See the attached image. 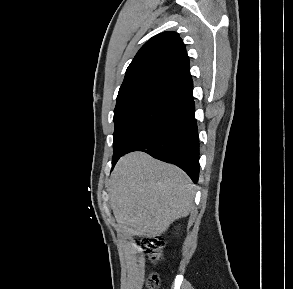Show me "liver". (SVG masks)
<instances>
[{"mask_svg": "<svg viewBox=\"0 0 293 289\" xmlns=\"http://www.w3.org/2000/svg\"><path fill=\"white\" fill-rule=\"evenodd\" d=\"M117 223L129 234L155 237L193 208L195 186L178 167L134 152L123 156L109 180Z\"/></svg>", "mask_w": 293, "mask_h": 289, "instance_id": "obj_1", "label": "liver"}]
</instances>
